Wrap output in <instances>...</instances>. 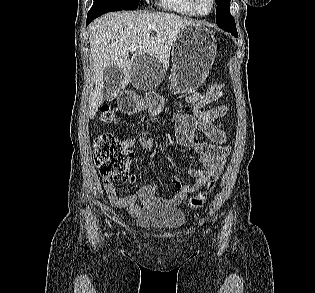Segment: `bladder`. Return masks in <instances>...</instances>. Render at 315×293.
Segmentation results:
<instances>
[{
	"label": "bladder",
	"instance_id": "1",
	"mask_svg": "<svg viewBox=\"0 0 315 293\" xmlns=\"http://www.w3.org/2000/svg\"><path fill=\"white\" fill-rule=\"evenodd\" d=\"M184 223L185 216L179 208L164 204L152 205L141 211L136 218L137 226L142 229L175 231Z\"/></svg>",
	"mask_w": 315,
	"mask_h": 293
}]
</instances>
